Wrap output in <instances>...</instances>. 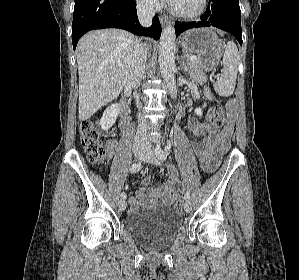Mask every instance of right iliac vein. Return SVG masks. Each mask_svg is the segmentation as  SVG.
<instances>
[{
    "label": "right iliac vein",
    "instance_id": "right-iliac-vein-1",
    "mask_svg": "<svg viewBox=\"0 0 299 280\" xmlns=\"http://www.w3.org/2000/svg\"><path fill=\"white\" fill-rule=\"evenodd\" d=\"M134 155H135L136 158L142 159L144 157V155H145V150L142 149V148H136L134 150ZM118 206H119V209L121 211H124L126 209V207H127V203H126V201L124 199H121L119 201V203H118Z\"/></svg>",
    "mask_w": 299,
    "mask_h": 280
}]
</instances>
